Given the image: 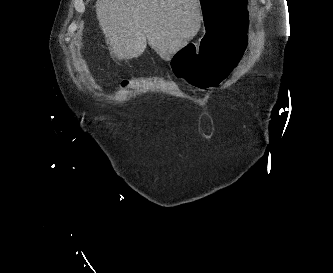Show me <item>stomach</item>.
Segmentation results:
<instances>
[{
	"mask_svg": "<svg viewBox=\"0 0 333 273\" xmlns=\"http://www.w3.org/2000/svg\"><path fill=\"white\" fill-rule=\"evenodd\" d=\"M250 0H197L201 23L207 31L197 47L187 43L172 53L170 67L175 77L189 86L204 90L231 81L236 65L248 51Z\"/></svg>",
	"mask_w": 333,
	"mask_h": 273,
	"instance_id": "0dacf381",
	"label": "stomach"
}]
</instances>
